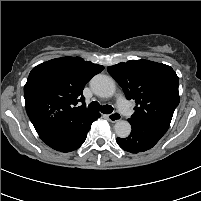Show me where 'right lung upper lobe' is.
Here are the masks:
<instances>
[{
    "label": "right lung upper lobe",
    "mask_w": 201,
    "mask_h": 201,
    "mask_svg": "<svg viewBox=\"0 0 201 201\" xmlns=\"http://www.w3.org/2000/svg\"><path fill=\"white\" fill-rule=\"evenodd\" d=\"M103 69L80 57L56 58L34 67L24 86V97L37 133L72 131L90 121L96 112L85 108L82 92Z\"/></svg>",
    "instance_id": "obj_1"
}]
</instances>
